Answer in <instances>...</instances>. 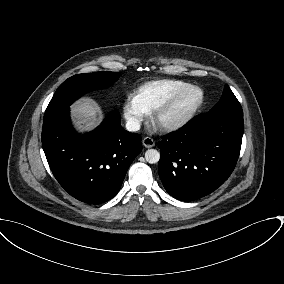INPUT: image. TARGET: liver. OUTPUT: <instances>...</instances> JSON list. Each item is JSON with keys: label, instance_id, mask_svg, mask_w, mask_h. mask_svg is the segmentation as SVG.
<instances>
[{"label": "liver", "instance_id": "1", "mask_svg": "<svg viewBox=\"0 0 284 284\" xmlns=\"http://www.w3.org/2000/svg\"><path fill=\"white\" fill-rule=\"evenodd\" d=\"M73 112L78 120V124H83L84 128H92L98 121V107L90 100H81L73 106Z\"/></svg>", "mask_w": 284, "mask_h": 284}]
</instances>
